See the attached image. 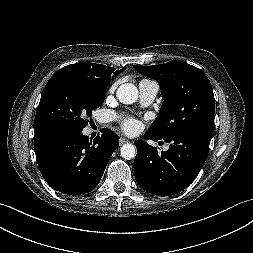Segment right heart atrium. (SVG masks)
<instances>
[{
	"mask_svg": "<svg viewBox=\"0 0 253 253\" xmlns=\"http://www.w3.org/2000/svg\"><path fill=\"white\" fill-rule=\"evenodd\" d=\"M117 87V83H114L111 87H110V92H113Z\"/></svg>",
	"mask_w": 253,
	"mask_h": 253,
	"instance_id": "obj_1",
	"label": "right heart atrium"
}]
</instances>
